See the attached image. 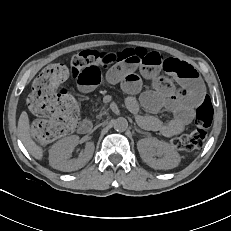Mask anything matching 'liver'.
I'll use <instances>...</instances> for the list:
<instances>
[{
	"mask_svg": "<svg viewBox=\"0 0 231 231\" xmlns=\"http://www.w3.org/2000/svg\"><path fill=\"white\" fill-rule=\"evenodd\" d=\"M18 134L27 151L37 160L43 158V149L31 138L28 114L23 111L18 120Z\"/></svg>",
	"mask_w": 231,
	"mask_h": 231,
	"instance_id": "1",
	"label": "liver"
}]
</instances>
